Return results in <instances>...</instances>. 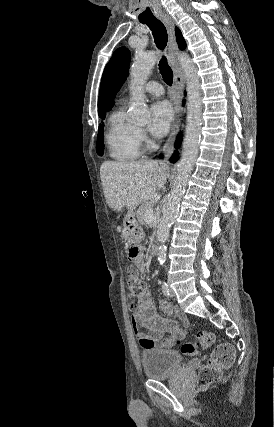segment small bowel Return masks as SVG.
<instances>
[{
  "label": "small bowel",
  "instance_id": "1",
  "mask_svg": "<svg viewBox=\"0 0 274 427\" xmlns=\"http://www.w3.org/2000/svg\"><path fill=\"white\" fill-rule=\"evenodd\" d=\"M140 271L144 272L148 268L143 254L135 259ZM160 308L168 312L170 305L166 300L160 301ZM187 325V318L183 314H178ZM131 328L136 335L139 346L144 351H151L156 348L170 349L176 342L185 337V331L178 322L172 318L159 315L154 308L152 298L147 290L140 295L139 305L133 311L130 318ZM143 327L148 333L140 330Z\"/></svg>",
  "mask_w": 274,
  "mask_h": 427
}]
</instances>
